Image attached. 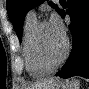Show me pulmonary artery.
Returning <instances> with one entry per match:
<instances>
[{"label":"pulmonary artery","instance_id":"obj_1","mask_svg":"<svg viewBox=\"0 0 89 89\" xmlns=\"http://www.w3.org/2000/svg\"><path fill=\"white\" fill-rule=\"evenodd\" d=\"M29 14H30V15H36V13H35L34 10L30 11Z\"/></svg>","mask_w":89,"mask_h":89}]
</instances>
